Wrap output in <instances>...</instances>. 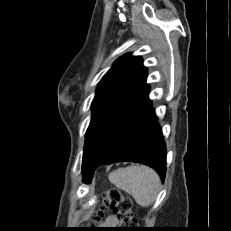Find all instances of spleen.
I'll return each mask as SVG.
<instances>
[{
    "instance_id": "3e777b00",
    "label": "spleen",
    "mask_w": 231,
    "mask_h": 231,
    "mask_svg": "<svg viewBox=\"0 0 231 231\" xmlns=\"http://www.w3.org/2000/svg\"><path fill=\"white\" fill-rule=\"evenodd\" d=\"M108 178L117 188L132 195L142 207H148L152 203L160 187L158 174L147 166L119 168L109 174Z\"/></svg>"
}]
</instances>
